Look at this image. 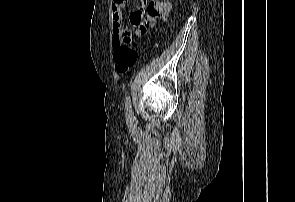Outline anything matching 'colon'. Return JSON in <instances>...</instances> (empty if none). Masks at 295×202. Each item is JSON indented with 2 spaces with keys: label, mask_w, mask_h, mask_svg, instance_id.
<instances>
[{
  "label": "colon",
  "mask_w": 295,
  "mask_h": 202,
  "mask_svg": "<svg viewBox=\"0 0 295 202\" xmlns=\"http://www.w3.org/2000/svg\"><path fill=\"white\" fill-rule=\"evenodd\" d=\"M113 60L115 70L119 74H125L134 66L137 60V52L130 34H123L121 44L114 52Z\"/></svg>",
  "instance_id": "obj_1"
}]
</instances>
